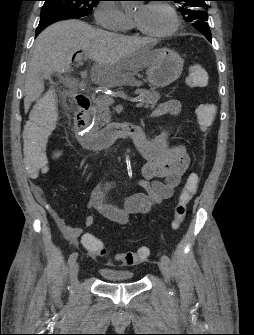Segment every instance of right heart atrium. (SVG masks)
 <instances>
[{"label": "right heart atrium", "instance_id": "1", "mask_svg": "<svg viewBox=\"0 0 254 335\" xmlns=\"http://www.w3.org/2000/svg\"><path fill=\"white\" fill-rule=\"evenodd\" d=\"M96 23L113 31H128L132 28L131 18L113 1L100 3L95 9Z\"/></svg>", "mask_w": 254, "mask_h": 335}]
</instances>
